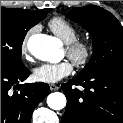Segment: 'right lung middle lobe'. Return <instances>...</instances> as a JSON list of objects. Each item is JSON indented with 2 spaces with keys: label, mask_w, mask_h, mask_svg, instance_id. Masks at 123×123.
Segmentation results:
<instances>
[{
  "label": "right lung middle lobe",
  "mask_w": 123,
  "mask_h": 123,
  "mask_svg": "<svg viewBox=\"0 0 123 123\" xmlns=\"http://www.w3.org/2000/svg\"><path fill=\"white\" fill-rule=\"evenodd\" d=\"M50 8L40 11L1 7V70L25 68L21 62L22 43L27 31L43 20Z\"/></svg>",
  "instance_id": "obj_1"
}]
</instances>
